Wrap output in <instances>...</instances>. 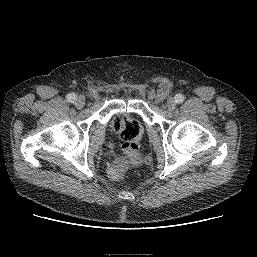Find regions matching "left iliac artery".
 Masks as SVG:
<instances>
[{
	"label": "left iliac artery",
	"instance_id": "obj_1",
	"mask_svg": "<svg viewBox=\"0 0 257 257\" xmlns=\"http://www.w3.org/2000/svg\"><path fill=\"white\" fill-rule=\"evenodd\" d=\"M184 100H185L184 95H182V94H176V95H175V101H176V103H182Z\"/></svg>",
	"mask_w": 257,
	"mask_h": 257
}]
</instances>
